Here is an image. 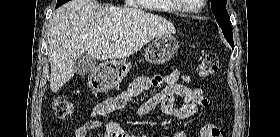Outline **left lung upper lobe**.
Here are the masks:
<instances>
[{"instance_id":"5c2ea615","label":"left lung upper lobe","mask_w":280,"mask_h":137,"mask_svg":"<svg viewBox=\"0 0 280 137\" xmlns=\"http://www.w3.org/2000/svg\"><path fill=\"white\" fill-rule=\"evenodd\" d=\"M211 2L212 12L215 14L216 21L221 27L222 32L232 48H234L232 27L230 17L226 10L227 0H209Z\"/></svg>"}]
</instances>
